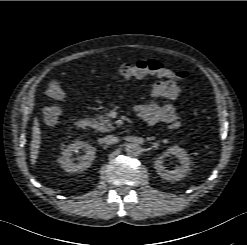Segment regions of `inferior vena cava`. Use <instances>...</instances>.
<instances>
[{"mask_svg":"<svg viewBox=\"0 0 247 245\" xmlns=\"http://www.w3.org/2000/svg\"><path fill=\"white\" fill-rule=\"evenodd\" d=\"M119 141L118 137H116L115 135H107L106 137H104V142L107 144H115Z\"/></svg>","mask_w":247,"mask_h":245,"instance_id":"1","label":"inferior vena cava"}]
</instances>
